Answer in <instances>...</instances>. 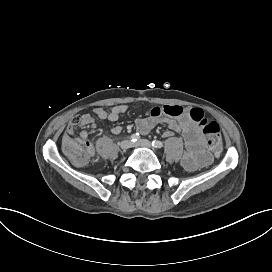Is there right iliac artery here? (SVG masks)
Returning <instances> with one entry per match:
<instances>
[{
  "label": "right iliac artery",
  "instance_id": "obj_1",
  "mask_svg": "<svg viewBox=\"0 0 272 272\" xmlns=\"http://www.w3.org/2000/svg\"><path fill=\"white\" fill-rule=\"evenodd\" d=\"M130 139H131L132 142L138 141V140L140 139L139 133H134V134H132V135L130 136Z\"/></svg>",
  "mask_w": 272,
  "mask_h": 272
}]
</instances>
